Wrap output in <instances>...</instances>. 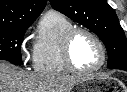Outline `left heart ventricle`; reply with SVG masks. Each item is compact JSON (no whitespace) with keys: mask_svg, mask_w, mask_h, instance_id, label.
<instances>
[{"mask_svg":"<svg viewBox=\"0 0 127 92\" xmlns=\"http://www.w3.org/2000/svg\"><path fill=\"white\" fill-rule=\"evenodd\" d=\"M72 58L80 69L97 66L101 60V52L96 42L87 34L80 33L72 44Z\"/></svg>","mask_w":127,"mask_h":92,"instance_id":"obj_1","label":"left heart ventricle"}]
</instances>
